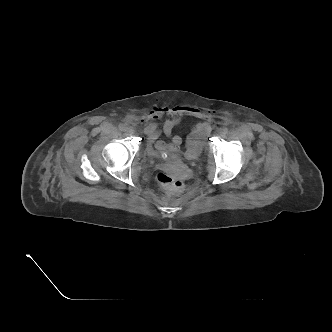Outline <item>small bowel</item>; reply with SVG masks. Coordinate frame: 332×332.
<instances>
[{"mask_svg": "<svg viewBox=\"0 0 332 332\" xmlns=\"http://www.w3.org/2000/svg\"><path fill=\"white\" fill-rule=\"evenodd\" d=\"M188 112H190V110L185 106L154 108L145 118V121L150 120L144 129L147 142L154 144L155 148L159 151L178 150L182 145V138L178 135H173V129L181 123L182 115ZM163 116L169 117L165 119L160 126L156 120L161 119ZM161 133L167 136L169 141L160 139ZM208 134V122L200 121L196 123L187 137L186 147H201L207 139Z\"/></svg>", "mask_w": 332, "mask_h": 332, "instance_id": "1", "label": "small bowel"}]
</instances>
